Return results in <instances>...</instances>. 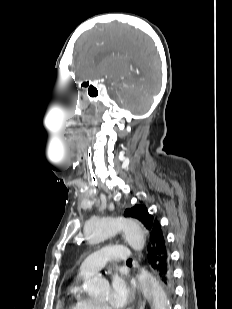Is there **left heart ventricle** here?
Here are the masks:
<instances>
[{
    "label": "left heart ventricle",
    "mask_w": 232,
    "mask_h": 309,
    "mask_svg": "<svg viewBox=\"0 0 232 309\" xmlns=\"http://www.w3.org/2000/svg\"><path fill=\"white\" fill-rule=\"evenodd\" d=\"M110 300V290L107 289L105 296L102 298V300L100 301L101 304H107Z\"/></svg>",
    "instance_id": "1"
}]
</instances>
